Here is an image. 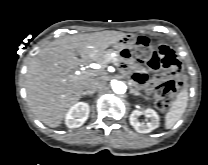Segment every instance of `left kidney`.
<instances>
[{
	"label": "left kidney",
	"instance_id": "5707ae66",
	"mask_svg": "<svg viewBox=\"0 0 208 165\" xmlns=\"http://www.w3.org/2000/svg\"><path fill=\"white\" fill-rule=\"evenodd\" d=\"M145 115L149 122L146 124L139 121V117ZM130 124L139 133H149L159 127V116L153 109H146L144 111L134 110L129 117Z\"/></svg>",
	"mask_w": 208,
	"mask_h": 165
}]
</instances>
